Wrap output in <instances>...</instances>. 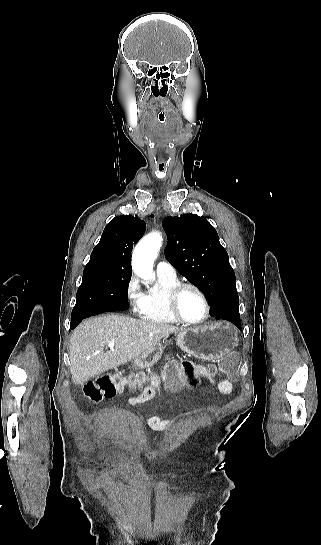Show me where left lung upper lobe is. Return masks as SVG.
Here are the masks:
<instances>
[{
	"mask_svg": "<svg viewBox=\"0 0 321 545\" xmlns=\"http://www.w3.org/2000/svg\"><path fill=\"white\" fill-rule=\"evenodd\" d=\"M162 225L168 237L166 259L204 293L210 310L239 303L229 256L206 218L196 214L168 216Z\"/></svg>",
	"mask_w": 321,
	"mask_h": 545,
	"instance_id": "1",
	"label": "left lung upper lobe"
}]
</instances>
